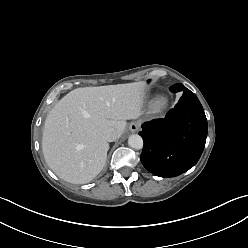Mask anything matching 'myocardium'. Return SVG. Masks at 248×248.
Returning <instances> with one entry per match:
<instances>
[{"label": "myocardium", "mask_w": 248, "mask_h": 248, "mask_svg": "<svg viewBox=\"0 0 248 248\" xmlns=\"http://www.w3.org/2000/svg\"><path fill=\"white\" fill-rule=\"evenodd\" d=\"M168 104V100L165 96H157L153 99L151 103L152 110L154 112H159L163 110Z\"/></svg>", "instance_id": "myocardium-1"}]
</instances>
